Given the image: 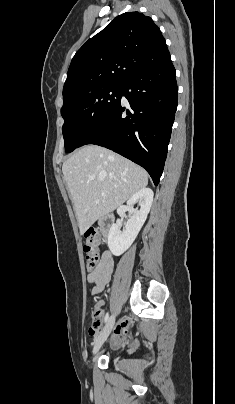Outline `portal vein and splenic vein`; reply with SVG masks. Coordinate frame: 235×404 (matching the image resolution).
I'll use <instances>...</instances> for the list:
<instances>
[{
	"label": "portal vein and splenic vein",
	"mask_w": 235,
	"mask_h": 404,
	"mask_svg": "<svg viewBox=\"0 0 235 404\" xmlns=\"http://www.w3.org/2000/svg\"><path fill=\"white\" fill-rule=\"evenodd\" d=\"M90 179L93 180L94 178H93V177H90Z\"/></svg>",
	"instance_id": "1"
}]
</instances>
